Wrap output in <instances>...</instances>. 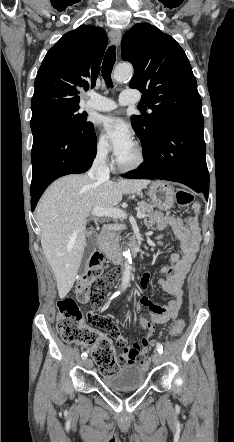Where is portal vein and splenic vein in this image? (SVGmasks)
I'll return each instance as SVG.
<instances>
[{
	"label": "portal vein and splenic vein",
	"instance_id": "obj_1",
	"mask_svg": "<svg viewBox=\"0 0 234 442\" xmlns=\"http://www.w3.org/2000/svg\"><path fill=\"white\" fill-rule=\"evenodd\" d=\"M92 216L95 217H112V218H119L123 219L127 217V213L119 208H101V207H95L92 212ZM145 217V214L141 211L137 212V218L142 219Z\"/></svg>",
	"mask_w": 234,
	"mask_h": 442
}]
</instances>
